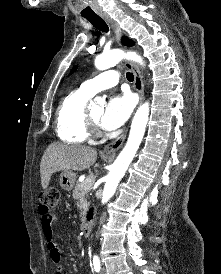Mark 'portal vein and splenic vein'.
<instances>
[{"instance_id":"obj_1","label":"portal vein and splenic vein","mask_w":221,"mask_h":274,"mask_svg":"<svg viewBox=\"0 0 221 274\" xmlns=\"http://www.w3.org/2000/svg\"><path fill=\"white\" fill-rule=\"evenodd\" d=\"M92 182H93V180L90 179V178H88V179H87V183H86V185L84 186V189H85V190H89V189L91 188V186H92Z\"/></svg>"}]
</instances>
